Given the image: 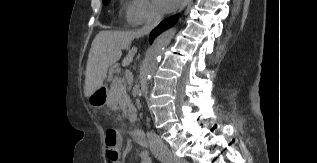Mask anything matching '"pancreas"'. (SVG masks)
Listing matches in <instances>:
<instances>
[{
  "mask_svg": "<svg viewBox=\"0 0 317 163\" xmlns=\"http://www.w3.org/2000/svg\"><path fill=\"white\" fill-rule=\"evenodd\" d=\"M113 76H109V80L112 81L110 84V90L108 91V105L112 110L122 111V117L127 118L131 124L137 119L136 109L133 106L130 97L126 92V88L121 79L119 84L113 82Z\"/></svg>",
  "mask_w": 317,
  "mask_h": 163,
  "instance_id": "obj_1",
  "label": "pancreas"
}]
</instances>
